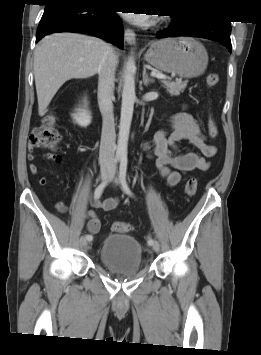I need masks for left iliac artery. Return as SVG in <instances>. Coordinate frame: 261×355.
I'll return each instance as SVG.
<instances>
[{"instance_id":"left-iliac-artery-1","label":"left iliac artery","mask_w":261,"mask_h":355,"mask_svg":"<svg viewBox=\"0 0 261 355\" xmlns=\"http://www.w3.org/2000/svg\"><path fill=\"white\" fill-rule=\"evenodd\" d=\"M126 171H127V156L121 157L120 168H119V179L123 188V191L129 196H133L128 184L126 182ZM154 240L152 238H148V245L152 246L154 244Z\"/></svg>"}]
</instances>
